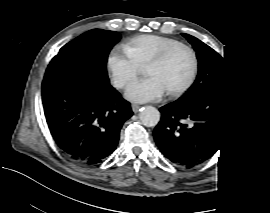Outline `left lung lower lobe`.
Segmentation results:
<instances>
[{"instance_id":"obj_1","label":"left lung lower lobe","mask_w":270,"mask_h":213,"mask_svg":"<svg viewBox=\"0 0 270 213\" xmlns=\"http://www.w3.org/2000/svg\"><path fill=\"white\" fill-rule=\"evenodd\" d=\"M154 139L166 158L187 168L210 158L233 128L237 104L235 86L196 100L178 99L160 108Z\"/></svg>"}]
</instances>
